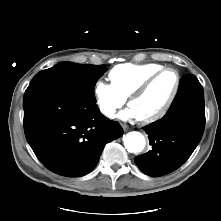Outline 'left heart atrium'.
Masks as SVG:
<instances>
[{
  "mask_svg": "<svg viewBox=\"0 0 221 221\" xmlns=\"http://www.w3.org/2000/svg\"><path fill=\"white\" fill-rule=\"evenodd\" d=\"M119 119L123 121L138 119L135 111L129 106L128 108L121 111L118 115Z\"/></svg>",
  "mask_w": 221,
  "mask_h": 221,
  "instance_id": "39dd6f15",
  "label": "left heart atrium"
}]
</instances>
